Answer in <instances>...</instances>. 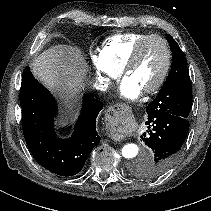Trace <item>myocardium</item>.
I'll use <instances>...</instances> for the list:
<instances>
[{
	"mask_svg": "<svg viewBox=\"0 0 211 211\" xmlns=\"http://www.w3.org/2000/svg\"><path fill=\"white\" fill-rule=\"evenodd\" d=\"M151 40H158L162 44L164 51H165V64H164V68H163V71H162L160 77L158 78V80L156 81V83L153 86H151L150 88H148L147 90L144 91L145 94L156 93L164 85L165 81L167 80V77H168L170 69H171V64H172V52H171V49H170V46H169L167 40L158 34L146 35L135 45L134 49L132 50L129 58L127 59L125 65L123 67L124 75H127L129 70L137 62L143 47L146 45L147 42H149Z\"/></svg>",
	"mask_w": 211,
	"mask_h": 211,
	"instance_id": "obj_1",
	"label": "myocardium"
}]
</instances>
